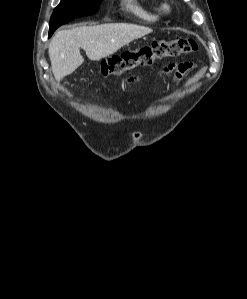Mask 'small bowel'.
Here are the masks:
<instances>
[{"instance_id":"c3829d8e","label":"small bowel","mask_w":247,"mask_h":299,"mask_svg":"<svg viewBox=\"0 0 247 299\" xmlns=\"http://www.w3.org/2000/svg\"><path fill=\"white\" fill-rule=\"evenodd\" d=\"M190 67L188 63L183 64H171L164 69L165 74L173 73L176 79H179L182 74Z\"/></svg>"}]
</instances>
